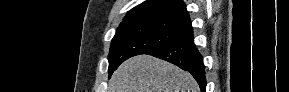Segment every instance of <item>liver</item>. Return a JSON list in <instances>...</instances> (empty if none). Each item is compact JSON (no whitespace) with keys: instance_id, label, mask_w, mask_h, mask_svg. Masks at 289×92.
I'll return each instance as SVG.
<instances>
[{"instance_id":"obj_1","label":"liver","mask_w":289,"mask_h":92,"mask_svg":"<svg viewBox=\"0 0 289 92\" xmlns=\"http://www.w3.org/2000/svg\"><path fill=\"white\" fill-rule=\"evenodd\" d=\"M109 92H199L190 73L175 65L139 55L128 59L114 72Z\"/></svg>"}]
</instances>
